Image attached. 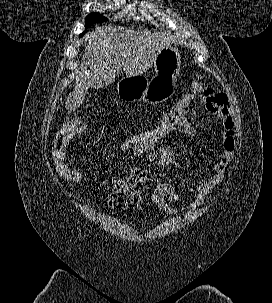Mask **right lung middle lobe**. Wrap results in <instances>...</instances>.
Wrapping results in <instances>:
<instances>
[{
  "label": "right lung middle lobe",
  "mask_w": 272,
  "mask_h": 303,
  "mask_svg": "<svg viewBox=\"0 0 272 303\" xmlns=\"http://www.w3.org/2000/svg\"><path fill=\"white\" fill-rule=\"evenodd\" d=\"M106 21V18L98 13H90L85 20V26L86 28L90 27L92 24L97 22H104ZM83 36V33L80 35V37Z\"/></svg>",
  "instance_id": "obj_1"
}]
</instances>
